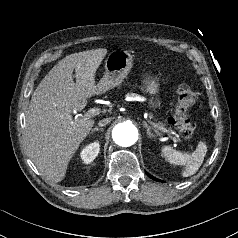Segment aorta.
<instances>
[{"label":"aorta","mask_w":238,"mask_h":238,"mask_svg":"<svg viewBox=\"0 0 238 238\" xmlns=\"http://www.w3.org/2000/svg\"><path fill=\"white\" fill-rule=\"evenodd\" d=\"M112 137L117 145L128 147L137 141L138 130L133 124L120 123L113 128Z\"/></svg>","instance_id":"obj_1"}]
</instances>
